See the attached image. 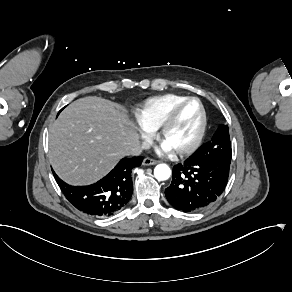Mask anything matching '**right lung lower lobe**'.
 <instances>
[{
  "label": "right lung lower lobe",
  "mask_w": 292,
  "mask_h": 292,
  "mask_svg": "<svg viewBox=\"0 0 292 292\" xmlns=\"http://www.w3.org/2000/svg\"><path fill=\"white\" fill-rule=\"evenodd\" d=\"M142 161V156L123 158L109 174L89 186H71L53 174L67 200L78 210L93 217H108L129 202L133 192L131 171Z\"/></svg>",
  "instance_id": "1"
}]
</instances>
